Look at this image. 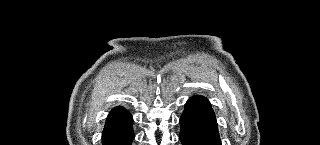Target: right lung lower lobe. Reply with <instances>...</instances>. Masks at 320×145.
Segmentation results:
<instances>
[{"mask_svg": "<svg viewBox=\"0 0 320 145\" xmlns=\"http://www.w3.org/2000/svg\"><path fill=\"white\" fill-rule=\"evenodd\" d=\"M133 118L123 107H115L109 113L102 133L103 145H131L134 139Z\"/></svg>", "mask_w": 320, "mask_h": 145, "instance_id": "obj_1", "label": "right lung lower lobe"}]
</instances>
